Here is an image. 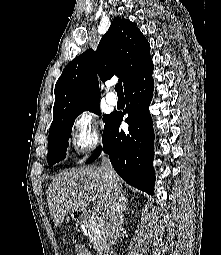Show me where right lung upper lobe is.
Masks as SVG:
<instances>
[{"label":"right lung upper lobe","mask_w":221,"mask_h":255,"mask_svg":"<svg viewBox=\"0 0 221 255\" xmlns=\"http://www.w3.org/2000/svg\"><path fill=\"white\" fill-rule=\"evenodd\" d=\"M150 61V45L136 23L113 19L97 50L88 49L77 56L57 80L49 132L65 114L99 102L97 75L105 81L116 73L125 88Z\"/></svg>","instance_id":"1"}]
</instances>
